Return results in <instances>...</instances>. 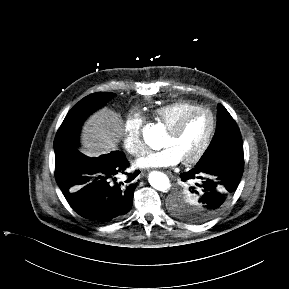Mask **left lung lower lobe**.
Returning <instances> with one entry per match:
<instances>
[{
    "mask_svg": "<svg viewBox=\"0 0 289 289\" xmlns=\"http://www.w3.org/2000/svg\"><path fill=\"white\" fill-rule=\"evenodd\" d=\"M244 169V159L229 157L197 166L180 174L181 180L195 182L190 187L199 206V215L211 219L219 214L236 190Z\"/></svg>",
    "mask_w": 289,
    "mask_h": 289,
    "instance_id": "left-lung-lower-lobe-1",
    "label": "left lung lower lobe"
}]
</instances>
